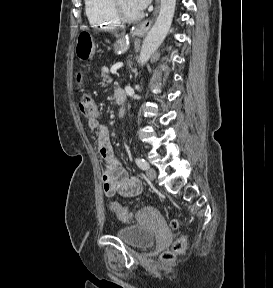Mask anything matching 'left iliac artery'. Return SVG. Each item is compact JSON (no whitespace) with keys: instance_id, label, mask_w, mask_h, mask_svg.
<instances>
[{"instance_id":"left-iliac-artery-1","label":"left iliac artery","mask_w":273,"mask_h":288,"mask_svg":"<svg viewBox=\"0 0 273 288\" xmlns=\"http://www.w3.org/2000/svg\"><path fill=\"white\" fill-rule=\"evenodd\" d=\"M135 162L138 165V167L141 168L142 170L149 169V164L144 159L136 158Z\"/></svg>"}]
</instances>
